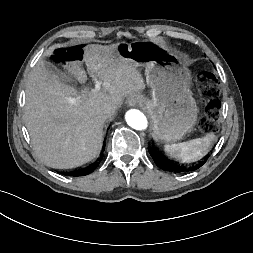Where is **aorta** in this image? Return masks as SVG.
Returning <instances> with one entry per match:
<instances>
[{
  "mask_svg": "<svg viewBox=\"0 0 253 253\" xmlns=\"http://www.w3.org/2000/svg\"><path fill=\"white\" fill-rule=\"evenodd\" d=\"M125 119L127 124L135 130H144L148 126L146 116L141 111L136 109L127 111Z\"/></svg>",
  "mask_w": 253,
  "mask_h": 253,
  "instance_id": "obj_1",
  "label": "aorta"
}]
</instances>
